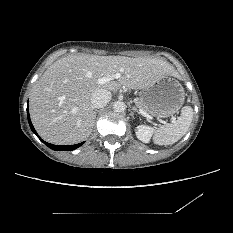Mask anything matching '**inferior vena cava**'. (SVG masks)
Here are the masks:
<instances>
[{"label": "inferior vena cava", "mask_w": 233, "mask_h": 233, "mask_svg": "<svg viewBox=\"0 0 233 233\" xmlns=\"http://www.w3.org/2000/svg\"><path fill=\"white\" fill-rule=\"evenodd\" d=\"M111 92L106 89L96 91L91 97L93 108H102L111 100Z\"/></svg>", "instance_id": "1"}]
</instances>
